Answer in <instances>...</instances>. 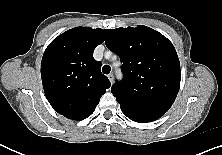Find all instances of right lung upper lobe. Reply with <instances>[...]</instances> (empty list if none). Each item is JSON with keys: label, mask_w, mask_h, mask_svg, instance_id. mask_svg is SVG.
<instances>
[{"label": "right lung upper lobe", "mask_w": 222, "mask_h": 155, "mask_svg": "<svg viewBox=\"0 0 222 155\" xmlns=\"http://www.w3.org/2000/svg\"><path fill=\"white\" fill-rule=\"evenodd\" d=\"M105 40L104 30L76 27L56 37L41 61L45 95L59 114L72 120L90 116L101 96L111 86L101 73V62L93 58Z\"/></svg>", "instance_id": "right-lung-upper-lobe-1"}]
</instances>
